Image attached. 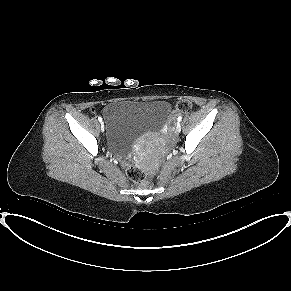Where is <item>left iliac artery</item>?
Returning <instances> with one entry per match:
<instances>
[{"label": "left iliac artery", "mask_w": 291, "mask_h": 291, "mask_svg": "<svg viewBox=\"0 0 291 291\" xmlns=\"http://www.w3.org/2000/svg\"><path fill=\"white\" fill-rule=\"evenodd\" d=\"M182 120V116L180 115L178 118H177V121L180 122Z\"/></svg>", "instance_id": "left-iliac-artery-1"}]
</instances>
